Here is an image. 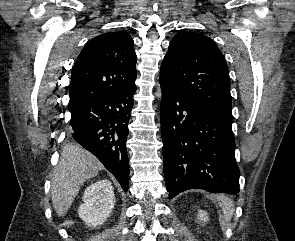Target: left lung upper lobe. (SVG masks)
<instances>
[{"instance_id":"5c2ea615","label":"left lung upper lobe","mask_w":295,"mask_h":241,"mask_svg":"<svg viewBox=\"0 0 295 241\" xmlns=\"http://www.w3.org/2000/svg\"><path fill=\"white\" fill-rule=\"evenodd\" d=\"M160 79L194 103L233 121L227 63L209 37L189 32L174 36Z\"/></svg>"}]
</instances>
